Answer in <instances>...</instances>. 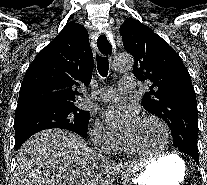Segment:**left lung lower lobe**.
<instances>
[{
    "instance_id": "0a47b994",
    "label": "left lung lower lobe",
    "mask_w": 207,
    "mask_h": 185,
    "mask_svg": "<svg viewBox=\"0 0 207 185\" xmlns=\"http://www.w3.org/2000/svg\"><path fill=\"white\" fill-rule=\"evenodd\" d=\"M188 155H190L197 164H199V155L197 153H189Z\"/></svg>"
}]
</instances>
